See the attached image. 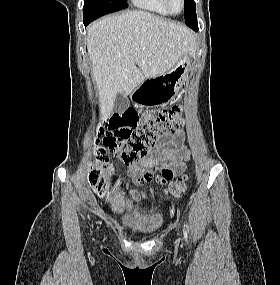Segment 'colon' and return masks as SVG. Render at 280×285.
<instances>
[{
	"instance_id": "1",
	"label": "colon",
	"mask_w": 280,
	"mask_h": 285,
	"mask_svg": "<svg viewBox=\"0 0 280 285\" xmlns=\"http://www.w3.org/2000/svg\"><path fill=\"white\" fill-rule=\"evenodd\" d=\"M139 114L128 108L122 113H114L102 129L104 146L99 149L97 161L102 167L111 170L107 152H121L127 164L135 163L153 147L156 142L177 132L184 124V108L175 105L151 117L146 123L137 126ZM187 175H179L167 186V194L178 197L185 190ZM89 183L95 193L103 197L107 194V177L99 168H92Z\"/></svg>"
}]
</instances>
